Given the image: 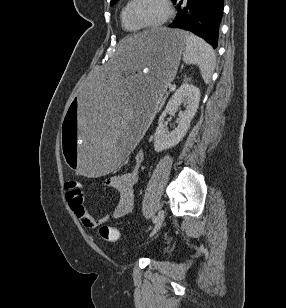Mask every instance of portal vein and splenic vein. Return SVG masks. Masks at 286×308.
Masks as SVG:
<instances>
[{
	"label": "portal vein and splenic vein",
	"mask_w": 286,
	"mask_h": 308,
	"mask_svg": "<svg viewBox=\"0 0 286 308\" xmlns=\"http://www.w3.org/2000/svg\"><path fill=\"white\" fill-rule=\"evenodd\" d=\"M170 89H171V90H174V89H175V85H171V86H170Z\"/></svg>",
	"instance_id": "18ae733b"
}]
</instances>
